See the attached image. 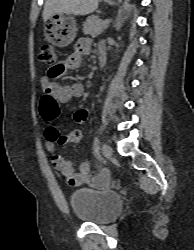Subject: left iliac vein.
I'll return each mask as SVG.
<instances>
[{"label": "left iliac vein", "instance_id": "4c4485c4", "mask_svg": "<svg viewBox=\"0 0 194 250\" xmlns=\"http://www.w3.org/2000/svg\"><path fill=\"white\" fill-rule=\"evenodd\" d=\"M102 153L104 154L105 157L111 158L113 155V150L108 144L104 143L102 145Z\"/></svg>", "mask_w": 194, "mask_h": 250}]
</instances>
